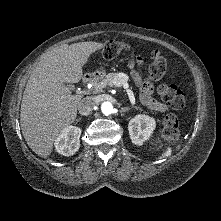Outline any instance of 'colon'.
<instances>
[{
  "instance_id": "1",
  "label": "colon",
  "mask_w": 221,
  "mask_h": 221,
  "mask_svg": "<svg viewBox=\"0 0 221 221\" xmlns=\"http://www.w3.org/2000/svg\"><path fill=\"white\" fill-rule=\"evenodd\" d=\"M131 46L125 42L111 41L106 44L102 56L106 60H112L123 52L130 51ZM151 64L147 69L146 76L151 81L160 80L167 70L166 59L157 50L150 54ZM158 92L163 100L172 109L179 110L185 106V96L181 89L175 85L162 84ZM163 135L170 140H176L180 136L179 122L175 115L168 114L163 119Z\"/></svg>"
}]
</instances>
